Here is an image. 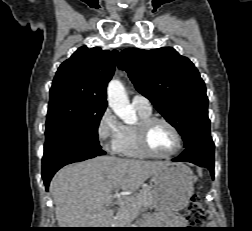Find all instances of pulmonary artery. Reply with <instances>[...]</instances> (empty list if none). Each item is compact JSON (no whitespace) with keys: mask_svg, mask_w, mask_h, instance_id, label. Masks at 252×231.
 Wrapping results in <instances>:
<instances>
[{"mask_svg":"<svg viewBox=\"0 0 252 231\" xmlns=\"http://www.w3.org/2000/svg\"><path fill=\"white\" fill-rule=\"evenodd\" d=\"M132 105L135 108L143 109L146 111H151V109H152L150 101L146 97H144L140 94H135L133 96Z\"/></svg>","mask_w":252,"mask_h":231,"instance_id":"pulmonary-artery-1","label":"pulmonary artery"}]
</instances>
